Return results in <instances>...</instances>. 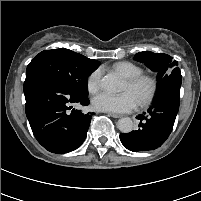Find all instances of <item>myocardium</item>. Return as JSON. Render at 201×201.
Returning a JSON list of instances; mask_svg holds the SVG:
<instances>
[{"label":"myocardium","instance_id":"1","mask_svg":"<svg viewBox=\"0 0 201 201\" xmlns=\"http://www.w3.org/2000/svg\"><path fill=\"white\" fill-rule=\"evenodd\" d=\"M127 84L131 88H137L141 85L147 86L146 93L138 100V104L142 107L148 106L154 100L157 93V81L148 74H139L126 79Z\"/></svg>","mask_w":201,"mask_h":201}]
</instances>
